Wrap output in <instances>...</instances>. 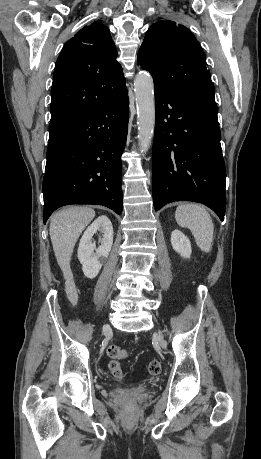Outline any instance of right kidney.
Listing matches in <instances>:
<instances>
[{
	"label": "right kidney",
	"instance_id": "right-kidney-1",
	"mask_svg": "<svg viewBox=\"0 0 261 459\" xmlns=\"http://www.w3.org/2000/svg\"><path fill=\"white\" fill-rule=\"evenodd\" d=\"M102 233L100 245L96 248L92 237L96 232ZM113 244V227L106 215L99 216L84 232L78 248V259L87 278H95L106 262ZM95 251V252H94Z\"/></svg>",
	"mask_w": 261,
	"mask_h": 459
}]
</instances>
